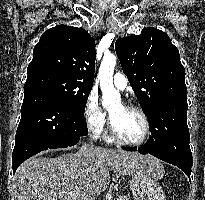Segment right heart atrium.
<instances>
[{
	"instance_id": "obj_1",
	"label": "right heart atrium",
	"mask_w": 205,
	"mask_h": 200,
	"mask_svg": "<svg viewBox=\"0 0 205 200\" xmlns=\"http://www.w3.org/2000/svg\"><path fill=\"white\" fill-rule=\"evenodd\" d=\"M84 121L92 136L100 137L105 133L106 113L100 107L98 96L94 92L90 93L87 98L84 108Z\"/></svg>"
}]
</instances>
